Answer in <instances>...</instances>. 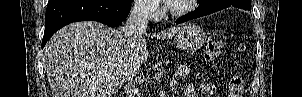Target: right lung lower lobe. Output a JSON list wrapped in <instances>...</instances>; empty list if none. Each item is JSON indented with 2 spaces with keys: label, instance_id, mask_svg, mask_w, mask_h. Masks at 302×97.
I'll return each instance as SVG.
<instances>
[{
  "label": "right lung lower lobe",
  "instance_id": "right-lung-lower-lobe-1",
  "mask_svg": "<svg viewBox=\"0 0 302 97\" xmlns=\"http://www.w3.org/2000/svg\"><path fill=\"white\" fill-rule=\"evenodd\" d=\"M130 0H49L42 48L63 26L78 21H97L116 27L128 16Z\"/></svg>",
  "mask_w": 302,
  "mask_h": 97
}]
</instances>
